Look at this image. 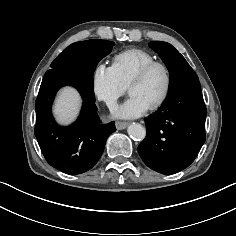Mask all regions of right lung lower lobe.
Listing matches in <instances>:
<instances>
[{"mask_svg": "<svg viewBox=\"0 0 236 236\" xmlns=\"http://www.w3.org/2000/svg\"><path fill=\"white\" fill-rule=\"evenodd\" d=\"M64 85L78 89L83 99L81 115L69 127L59 126L52 117L51 105L57 90ZM35 136L47 162L66 174L90 170L103 153L114 122L98 119L92 76L81 71L55 69L46 72L35 102Z\"/></svg>", "mask_w": 236, "mask_h": 236, "instance_id": "obj_1", "label": "right lung lower lobe"}]
</instances>
